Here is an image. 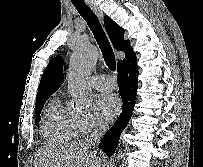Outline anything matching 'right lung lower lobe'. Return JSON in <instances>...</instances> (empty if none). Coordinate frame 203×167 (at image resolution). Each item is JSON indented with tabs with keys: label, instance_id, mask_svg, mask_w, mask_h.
I'll return each mask as SVG.
<instances>
[{
	"label": "right lung lower lobe",
	"instance_id": "obj_1",
	"mask_svg": "<svg viewBox=\"0 0 203 167\" xmlns=\"http://www.w3.org/2000/svg\"><path fill=\"white\" fill-rule=\"evenodd\" d=\"M117 82L119 94L123 101L122 113L99 144V147L106 152L107 156H111L114 153L118 146L120 135L132 115L138 83L136 62L118 69Z\"/></svg>",
	"mask_w": 203,
	"mask_h": 167
}]
</instances>
